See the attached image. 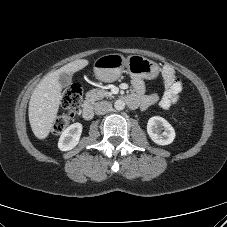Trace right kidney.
I'll list each match as a JSON object with an SVG mask.
<instances>
[{
	"instance_id": "1",
	"label": "right kidney",
	"mask_w": 227,
	"mask_h": 227,
	"mask_svg": "<svg viewBox=\"0 0 227 227\" xmlns=\"http://www.w3.org/2000/svg\"><path fill=\"white\" fill-rule=\"evenodd\" d=\"M83 126L81 123H74L67 127L61 134L58 141V148L61 151L73 149L80 140Z\"/></svg>"
}]
</instances>
